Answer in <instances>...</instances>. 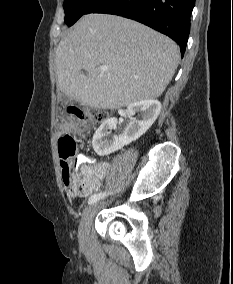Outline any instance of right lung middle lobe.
I'll list each match as a JSON object with an SVG mask.
<instances>
[{
    "instance_id": "1",
    "label": "right lung middle lobe",
    "mask_w": 233,
    "mask_h": 284,
    "mask_svg": "<svg viewBox=\"0 0 233 284\" xmlns=\"http://www.w3.org/2000/svg\"><path fill=\"white\" fill-rule=\"evenodd\" d=\"M106 1L108 0H65V23L68 26L73 25L81 16L92 13Z\"/></svg>"
}]
</instances>
